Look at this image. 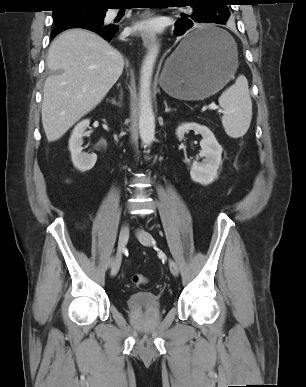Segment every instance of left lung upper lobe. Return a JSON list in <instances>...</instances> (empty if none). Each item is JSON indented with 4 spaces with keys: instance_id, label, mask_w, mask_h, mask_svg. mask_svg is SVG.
Listing matches in <instances>:
<instances>
[{
    "instance_id": "left-lung-upper-lobe-1",
    "label": "left lung upper lobe",
    "mask_w": 306,
    "mask_h": 387,
    "mask_svg": "<svg viewBox=\"0 0 306 387\" xmlns=\"http://www.w3.org/2000/svg\"><path fill=\"white\" fill-rule=\"evenodd\" d=\"M227 0H185V4L192 7L190 15L181 14V17H191L198 22L225 24L230 16Z\"/></svg>"
}]
</instances>
